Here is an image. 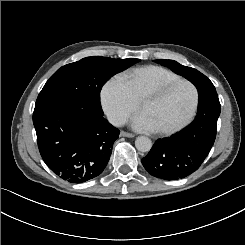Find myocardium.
I'll return each instance as SVG.
<instances>
[{
	"label": "myocardium",
	"instance_id": "obj_1",
	"mask_svg": "<svg viewBox=\"0 0 245 245\" xmlns=\"http://www.w3.org/2000/svg\"><path fill=\"white\" fill-rule=\"evenodd\" d=\"M179 85H186L189 87V89L191 91V105H190L189 111L186 114V116L176 125L169 127V128L155 129V131L161 135H165V136L172 135L190 123V121L192 120V118L195 115V112H196L197 106H198L199 97H198V91H197L196 87L190 81H188L186 79H178V80L168 82L165 84L155 83V84H151V85H148L147 87H145L142 90V92L138 98L137 107L139 108V105L151 94L156 93V92L164 94V93L174 89L175 87H177Z\"/></svg>",
	"mask_w": 245,
	"mask_h": 245
}]
</instances>
